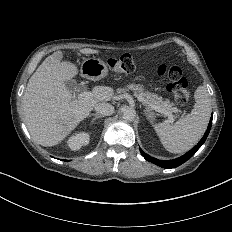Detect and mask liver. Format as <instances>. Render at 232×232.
Segmentation results:
<instances>
[{
    "label": "liver",
    "instance_id": "1",
    "mask_svg": "<svg viewBox=\"0 0 232 232\" xmlns=\"http://www.w3.org/2000/svg\"><path fill=\"white\" fill-rule=\"evenodd\" d=\"M83 54H96L98 50L84 48ZM62 52L48 56L29 79L23 95L25 122L38 144L51 147L64 140L86 118L98 102L109 101L114 90L108 86H95L91 99H72L65 81L78 73L70 62H61Z\"/></svg>",
    "mask_w": 232,
    "mask_h": 232
}]
</instances>
